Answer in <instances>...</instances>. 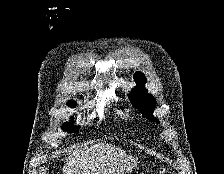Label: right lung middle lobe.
<instances>
[{
    "label": "right lung middle lobe",
    "instance_id": "1",
    "mask_svg": "<svg viewBox=\"0 0 224 174\" xmlns=\"http://www.w3.org/2000/svg\"><path fill=\"white\" fill-rule=\"evenodd\" d=\"M62 128L64 131H69L71 133H75L80 129V126L76 127V126H74V124L66 122V123H64Z\"/></svg>",
    "mask_w": 224,
    "mask_h": 174
}]
</instances>
